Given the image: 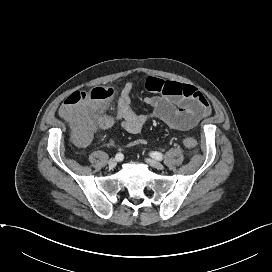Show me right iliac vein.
<instances>
[{"label":"right iliac vein","mask_w":272,"mask_h":272,"mask_svg":"<svg viewBox=\"0 0 272 272\" xmlns=\"http://www.w3.org/2000/svg\"><path fill=\"white\" fill-rule=\"evenodd\" d=\"M110 168H114L117 165V160L115 158H111L108 162Z\"/></svg>","instance_id":"1"}]
</instances>
